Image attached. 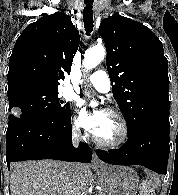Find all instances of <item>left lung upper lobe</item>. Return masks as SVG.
Wrapping results in <instances>:
<instances>
[{"label": "left lung upper lobe", "mask_w": 178, "mask_h": 195, "mask_svg": "<svg viewBox=\"0 0 178 195\" xmlns=\"http://www.w3.org/2000/svg\"><path fill=\"white\" fill-rule=\"evenodd\" d=\"M106 50L113 96L132 134L144 125L170 126L168 61L158 37L118 13L98 29Z\"/></svg>", "instance_id": "5c2ea615"}]
</instances>
